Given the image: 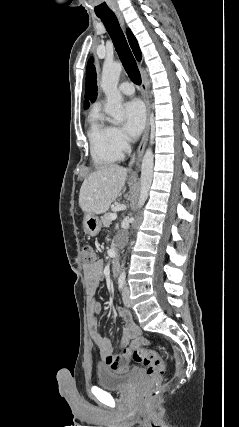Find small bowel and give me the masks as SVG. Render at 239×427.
Here are the masks:
<instances>
[{"label": "small bowel", "instance_id": "1", "mask_svg": "<svg viewBox=\"0 0 239 427\" xmlns=\"http://www.w3.org/2000/svg\"><path fill=\"white\" fill-rule=\"evenodd\" d=\"M84 273L88 288L91 294H94L98 289L104 275V263L102 260H97L91 265L84 267ZM90 326L92 329V340L99 350L103 358L104 365L115 372H126L129 369V355L132 351L139 349L147 344V340L142 338L141 329L135 324L131 313L125 308H118V314L123 319L125 327L123 334V342L129 343L128 350L124 353L115 352L108 338L104 337L98 331L97 313L100 306L96 301L91 302Z\"/></svg>", "mask_w": 239, "mask_h": 427}]
</instances>
